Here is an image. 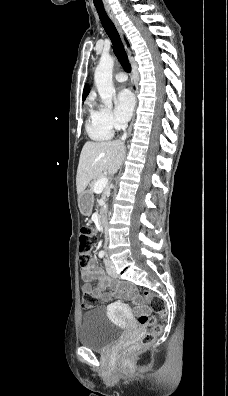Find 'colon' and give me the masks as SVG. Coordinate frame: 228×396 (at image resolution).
Segmentation results:
<instances>
[{"label": "colon", "instance_id": "obj_1", "mask_svg": "<svg viewBox=\"0 0 228 396\" xmlns=\"http://www.w3.org/2000/svg\"><path fill=\"white\" fill-rule=\"evenodd\" d=\"M79 253H80V264L82 267H87L93 261L92 254L89 249L88 243V229L83 226L80 229L79 234ZM142 299L147 303L149 308L155 314H164L166 306L162 298L152 291L146 290L141 296ZM99 302L96 297L91 294H84L82 298V307L84 309H93L98 306ZM140 323L145 328V332L133 342L127 349V353H133L139 351L149 345H151L156 337L161 332V326L158 323L157 317L153 315H142L140 317Z\"/></svg>", "mask_w": 228, "mask_h": 396}]
</instances>
